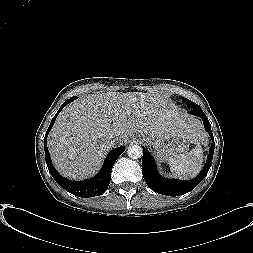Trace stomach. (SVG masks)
<instances>
[{
    "label": "stomach",
    "instance_id": "obj_1",
    "mask_svg": "<svg viewBox=\"0 0 253 253\" xmlns=\"http://www.w3.org/2000/svg\"><path fill=\"white\" fill-rule=\"evenodd\" d=\"M139 137L147 145L152 146L155 156L161 162L167 161L171 156L187 151L189 145L192 144L188 139L178 134L166 133L153 138L141 133Z\"/></svg>",
    "mask_w": 253,
    "mask_h": 253
}]
</instances>
